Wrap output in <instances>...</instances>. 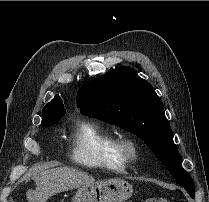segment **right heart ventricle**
<instances>
[{"instance_id": "obj_1", "label": "right heart ventricle", "mask_w": 209, "mask_h": 202, "mask_svg": "<svg viewBox=\"0 0 209 202\" xmlns=\"http://www.w3.org/2000/svg\"><path fill=\"white\" fill-rule=\"evenodd\" d=\"M119 136L110 127L91 120L81 121L70 134V156L79 164L126 172L131 164L116 153Z\"/></svg>"}]
</instances>
